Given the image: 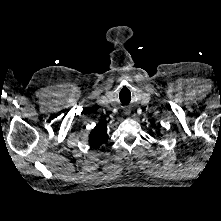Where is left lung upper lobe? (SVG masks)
<instances>
[{"label":"left lung upper lobe","instance_id":"5c2ea615","mask_svg":"<svg viewBox=\"0 0 221 221\" xmlns=\"http://www.w3.org/2000/svg\"><path fill=\"white\" fill-rule=\"evenodd\" d=\"M151 124H152L153 127L155 126V125H154V122H151Z\"/></svg>","mask_w":221,"mask_h":221}]
</instances>
